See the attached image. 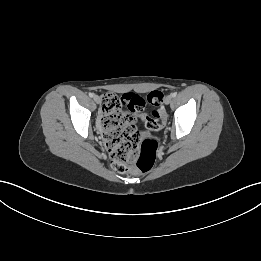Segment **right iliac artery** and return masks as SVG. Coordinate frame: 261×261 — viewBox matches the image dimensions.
Returning <instances> with one entry per match:
<instances>
[{
  "label": "right iliac artery",
  "mask_w": 261,
  "mask_h": 261,
  "mask_svg": "<svg viewBox=\"0 0 261 261\" xmlns=\"http://www.w3.org/2000/svg\"><path fill=\"white\" fill-rule=\"evenodd\" d=\"M89 96H90V97H94V94L90 92V93H89Z\"/></svg>",
  "instance_id": "obj_1"
}]
</instances>
